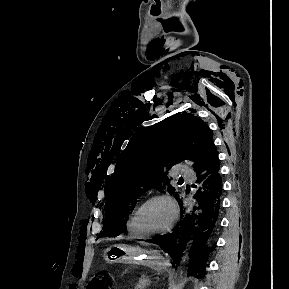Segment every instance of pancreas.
Returning <instances> with one entry per match:
<instances>
[{
	"label": "pancreas",
	"instance_id": "obj_1",
	"mask_svg": "<svg viewBox=\"0 0 289 289\" xmlns=\"http://www.w3.org/2000/svg\"><path fill=\"white\" fill-rule=\"evenodd\" d=\"M150 284V280L148 277L142 276L138 281L135 289H145L146 286Z\"/></svg>",
	"mask_w": 289,
	"mask_h": 289
}]
</instances>
